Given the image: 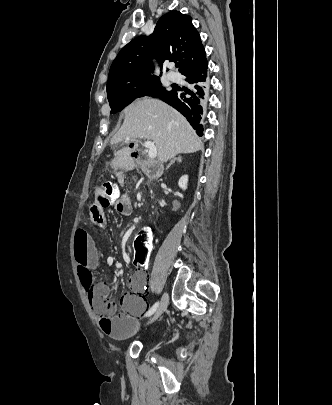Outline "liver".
Wrapping results in <instances>:
<instances>
[{"label":"liver","mask_w":332,"mask_h":405,"mask_svg":"<svg viewBox=\"0 0 332 405\" xmlns=\"http://www.w3.org/2000/svg\"><path fill=\"white\" fill-rule=\"evenodd\" d=\"M121 129L111 139V145L126 138L154 142L158 160L167 162L177 154H189L203 149V143L187 120L176 110L155 99L139 100L125 109ZM131 149L117 152L119 159L129 157Z\"/></svg>","instance_id":"liver-1"}]
</instances>
